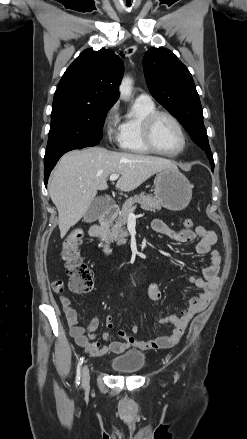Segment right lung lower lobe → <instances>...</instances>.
<instances>
[{
  "instance_id": "1",
  "label": "right lung lower lobe",
  "mask_w": 247,
  "mask_h": 439,
  "mask_svg": "<svg viewBox=\"0 0 247 439\" xmlns=\"http://www.w3.org/2000/svg\"><path fill=\"white\" fill-rule=\"evenodd\" d=\"M59 159H56L54 161H52L51 163H49L48 165L45 166L44 169V183L47 186V182H48V178L50 175V172L52 171L53 167L55 166V164L57 163Z\"/></svg>"
}]
</instances>
